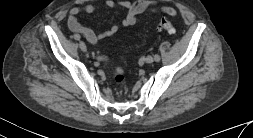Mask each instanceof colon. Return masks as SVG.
<instances>
[{"instance_id":"colon-1","label":"colon","mask_w":253,"mask_h":138,"mask_svg":"<svg viewBox=\"0 0 253 138\" xmlns=\"http://www.w3.org/2000/svg\"><path fill=\"white\" fill-rule=\"evenodd\" d=\"M158 28L166 33L172 34L175 32V27L173 23L167 19H160L158 21ZM126 80V75L123 69L121 68H116L115 69V74H114V81L118 85L124 84Z\"/></svg>"}]
</instances>
